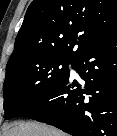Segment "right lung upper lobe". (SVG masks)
<instances>
[{"label": "right lung upper lobe", "mask_w": 117, "mask_h": 136, "mask_svg": "<svg viewBox=\"0 0 117 136\" xmlns=\"http://www.w3.org/2000/svg\"><path fill=\"white\" fill-rule=\"evenodd\" d=\"M115 34L117 0H33L8 63L33 55L75 60Z\"/></svg>", "instance_id": "cb5924a9"}]
</instances>
